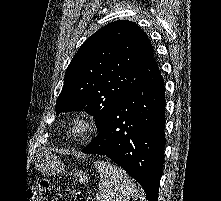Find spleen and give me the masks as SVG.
Returning a JSON list of instances; mask_svg holds the SVG:
<instances>
[{
  "label": "spleen",
  "mask_w": 221,
  "mask_h": 201,
  "mask_svg": "<svg viewBox=\"0 0 221 201\" xmlns=\"http://www.w3.org/2000/svg\"><path fill=\"white\" fill-rule=\"evenodd\" d=\"M95 167L100 172L99 192L96 201L136 200L138 192L128 174L115 164L97 160Z\"/></svg>",
  "instance_id": "3e777b00"
}]
</instances>
